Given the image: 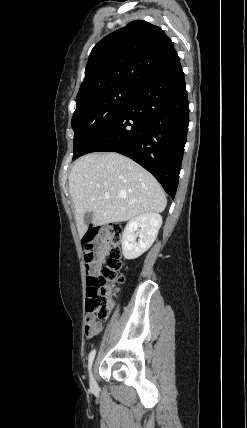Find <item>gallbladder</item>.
Segmentation results:
<instances>
[{"instance_id":"1","label":"gallbladder","mask_w":247,"mask_h":428,"mask_svg":"<svg viewBox=\"0 0 247 428\" xmlns=\"http://www.w3.org/2000/svg\"><path fill=\"white\" fill-rule=\"evenodd\" d=\"M92 218H93V214H92V212H87V213L84 215V220H85V222H90V221L92 220Z\"/></svg>"}]
</instances>
